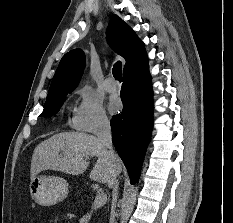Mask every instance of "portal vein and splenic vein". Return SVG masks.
I'll use <instances>...</instances> for the list:
<instances>
[{
	"mask_svg": "<svg viewBox=\"0 0 233 223\" xmlns=\"http://www.w3.org/2000/svg\"><path fill=\"white\" fill-rule=\"evenodd\" d=\"M106 201H107V193H103V191H98L94 199V205H97V207H100V205H104Z\"/></svg>",
	"mask_w": 233,
	"mask_h": 223,
	"instance_id": "obj_1",
	"label": "portal vein and splenic vein"
}]
</instances>
